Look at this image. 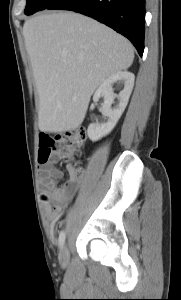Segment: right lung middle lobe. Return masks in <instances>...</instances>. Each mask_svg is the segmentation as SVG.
<instances>
[{
    "label": "right lung middle lobe",
    "mask_w": 181,
    "mask_h": 300,
    "mask_svg": "<svg viewBox=\"0 0 181 300\" xmlns=\"http://www.w3.org/2000/svg\"><path fill=\"white\" fill-rule=\"evenodd\" d=\"M55 0H27L24 13L31 15L50 6Z\"/></svg>",
    "instance_id": "1"
}]
</instances>
